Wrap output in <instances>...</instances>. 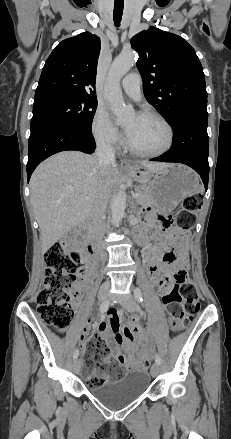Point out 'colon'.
Returning a JSON list of instances; mask_svg holds the SVG:
<instances>
[{
	"label": "colon",
	"instance_id": "obj_1",
	"mask_svg": "<svg viewBox=\"0 0 231 439\" xmlns=\"http://www.w3.org/2000/svg\"><path fill=\"white\" fill-rule=\"evenodd\" d=\"M202 203L203 198L200 194L186 197L174 218L158 217L156 222L163 230H169L177 225L188 233L195 225V214L200 210ZM167 259L170 260L171 256ZM45 266L44 287L36 297L37 313L46 324L63 331L72 319L71 297L78 289L79 279L85 275V270L81 267V252L76 249L68 250L66 243L57 242L46 251ZM175 266L174 284L163 293V302L169 322L172 328L177 330L189 324L193 316L198 313L199 295L196 285L187 279L185 255H180ZM135 329L137 330L138 326ZM84 346L85 375H89L94 367L100 368V373L88 376L89 387L101 386L107 379L121 378L122 374L118 371L115 361L101 364L109 354V349L101 338L91 337ZM144 366L149 367L150 362L145 361Z\"/></svg>",
	"mask_w": 231,
	"mask_h": 439
}]
</instances>
